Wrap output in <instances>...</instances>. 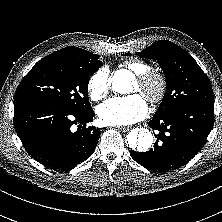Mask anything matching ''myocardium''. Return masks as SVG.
<instances>
[{"mask_svg":"<svg viewBox=\"0 0 222 222\" xmlns=\"http://www.w3.org/2000/svg\"><path fill=\"white\" fill-rule=\"evenodd\" d=\"M136 81L141 86L144 96L152 105L161 103L165 98L168 82L164 74L150 70L137 75Z\"/></svg>","mask_w":222,"mask_h":222,"instance_id":"myocardium-1","label":"myocardium"}]
</instances>
